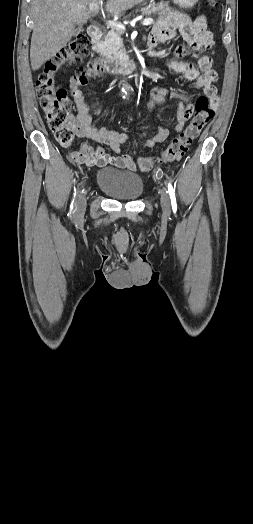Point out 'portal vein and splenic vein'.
Segmentation results:
<instances>
[{
  "label": "portal vein and splenic vein",
  "mask_w": 253,
  "mask_h": 524,
  "mask_svg": "<svg viewBox=\"0 0 253 524\" xmlns=\"http://www.w3.org/2000/svg\"><path fill=\"white\" fill-rule=\"evenodd\" d=\"M99 9V4L98 3H90L89 4V11L91 12H96L98 11ZM154 22V20L152 18H146L143 20L142 22V25H145V26H148V25H151L152 23ZM107 24L112 27V28H115L117 30H125V26L117 21H113V20H108L107 21Z\"/></svg>",
  "instance_id": "18ae733b"
}]
</instances>
